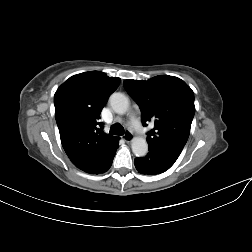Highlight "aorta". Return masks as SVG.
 Instances as JSON below:
<instances>
[{
    "instance_id": "1",
    "label": "aorta",
    "mask_w": 252,
    "mask_h": 252,
    "mask_svg": "<svg viewBox=\"0 0 252 252\" xmlns=\"http://www.w3.org/2000/svg\"><path fill=\"white\" fill-rule=\"evenodd\" d=\"M110 105L112 109L118 114H124L129 108L128 98L120 93H113L110 96ZM133 153L138 157H143L148 152V144L142 137H135L131 143Z\"/></svg>"
}]
</instances>
